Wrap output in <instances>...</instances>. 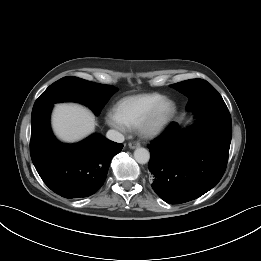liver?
I'll return each mask as SVG.
<instances>
[{
    "mask_svg": "<svg viewBox=\"0 0 261 261\" xmlns=\"http://www.w3.org/2000/svg\"><path fill=\"white\" fill-rule=\"evenodd\" d=\"M93 113L78 104H57L52 114V127L56 136L68 143L79 141L94 132Z\"/></svg>",
    "mask_w": 261,
    "mask_h": 261,
    "instance_id": "liver-1",
    "label": "liver"
}]
</instances>
